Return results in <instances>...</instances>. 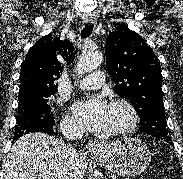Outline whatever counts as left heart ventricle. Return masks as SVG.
<instances>
[{
  "label": "left heart ventricle",
  "instance_id": "1",
  "mask_svg": "<svg viewBox=\"0 0 183 179\" xmlns=\"http://www.w3.org/2000/svg\"><path fill=\"white\" fill-rule=\"evenodd\" d=\"M128 121V112L120 106H109L106 131L118 128Z\"/></svg>",
  "mask_w": 183,
  "mask_h": 179
}]
</instances>
